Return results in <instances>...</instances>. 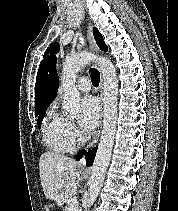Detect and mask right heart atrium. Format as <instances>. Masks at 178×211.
Instances as JSON below:
<instances>
[{
    "mask_svg": "<svg viewBox=\"0 0 178 211\" xmlns=\"http://www.w3.org/2000/svg\"><path fill=\"white\" fill-rule=\"evenodd\" d=\"M66 130L71 140L78 139L80 137L78 134L77 128L72 121L68 120Z\"/></svg>",
    "mask_w": 178,
    "mask_h": 211,
    "instance_id": "obj_1",
    "label": "right heart atrium"
}]
</instances>
